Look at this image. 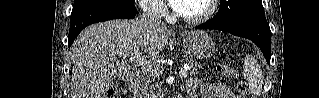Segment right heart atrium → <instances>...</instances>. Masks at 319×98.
<instances>
[{
	"instance_id": "1",
	"label": "right heart atrium",
	"mask_w": 319,
	"mask_h": 98,
	"mask_svg": "<svg viewBox=\"0 0 319 98\" xmlns=\"http://www.w3.org/2000/svg\"><path fill=\"white\" fill-rule=\"evenodd\" d=\"M139 4L144 7L145 12L152 17H162L167 14V8L163 1H139Z\"/></svg>"
}]
</instances>
